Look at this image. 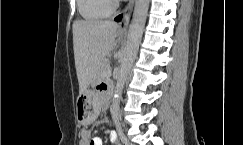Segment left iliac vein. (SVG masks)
Masks as SVG:
<instances>
[{
  "label": "left iliac vein",
  "instance_id": "4c4485c4",
  "mask_svg": "<svg viewBox=\"0 0 243 145\" xmlns=\"http://www.w3.org/2000/svg\"><path fill=\"white\" fill-rule=\"evenodd\" d=\"M125 145H133V144L130 143V142L127 140V142L125 143Z\"/></svg>",
  "mask_w": 243,
  "mask_h": 145
}]
</instances>
